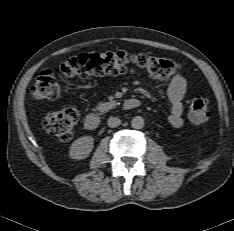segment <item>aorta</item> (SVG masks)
<instances>
[{"instance_id": "obj_1", "label": "aorta", "mask_w": 234, "mask_h": 231, "mask_svg": "<svg viewBox=\"0 0 234 231\" xmlns=\"http://www.w3.org/2000/svg\"><path fill=\"white\" fill-rule=\"evenodd\" d=\"M131 126L134 129H141L144 127V119L141 116H135L132 120H131Z\"/></svg>"}]
</instances>
